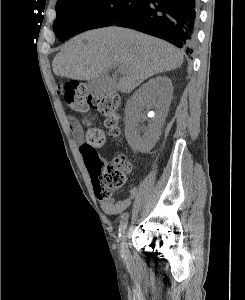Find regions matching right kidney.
Masks as SVG:
<instances>
[{"instance_id": "right-kidney-1", "label": "right kidney", "mask_w": 245, "mask_h": 300, "mask_svg": "<svg viewBox=\"0 0 245 300\" xmlns=\"http://www.w3.org/2000/svg\"><path fill=\"white\" fill-rule=\"evenodd\" d=\"M173 87L166 76H158L143 84L128 100L125 107V136L131 148L147 152L159 139L161 126L172 100ZM144 109L154 110L148 126L140 127L146 120Z\"/></svg>"}]
</instances>
